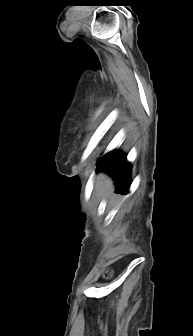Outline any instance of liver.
I'll return each mask as SVG.
<instances>
[{
    "label": "liver",
    "mask_w": 193,
    "mask_h": 336,
    "mask_svg": "<svg viewBox=\"0 0 193 336\" xmlns=\"http://www.w3.org/2000/svg\"><path fill=\"white\" fill-rule=\"evenodd\" d=\"M100 181L102 183V187L99 185V193L103 194L107 190H111V181L105 176H100Z\"/></svg>",
    "instance_id": "liver-1"
}]
</instances>
